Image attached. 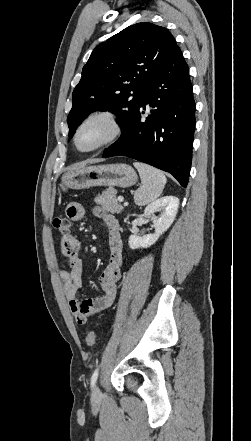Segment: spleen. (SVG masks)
I'll list each match as a JSON object with an SVG mask.
<instances>
[{
    "label": "spleen",
    "instance_id": "obj_1",
    "mask_svg": "<svg viewBox=\"0 0 251 441\" xmlns=\"http://www.w3.org/2000/svg\"><path fill=\"white\" fill-rule=\"evenodd\" d=\"M141 178V186L134 194V202L138 206H144L154 202L161 194L167 182L164 173L150 165L134 162Z\"/></svg>",
    "mask_w": 251,
    "mask_h": 441
}]
</instances>
